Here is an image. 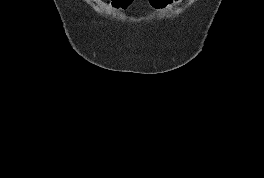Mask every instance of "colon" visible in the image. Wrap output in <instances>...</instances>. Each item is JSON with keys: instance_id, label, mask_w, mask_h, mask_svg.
<instances>
[{"instance_id": "5ec220e1", "label": "colon", "mask_w": 264, "mask_h": 178, "mask_svg": "<svg viewBox=\"0 0 264 178\" xmlns=\"http://www.w3.org/2000/svg\"><path fill=\"white\" fill-rule=\"evenodd\" d=\"M133 0H110L113 9L117 11L126 10ZM151 7L155 10L161 11L170 5L171 0H148Z\"/></svg>"}]
</instances>
